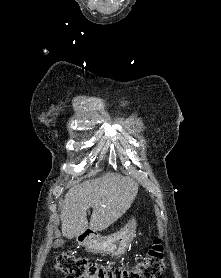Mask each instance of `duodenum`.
<instances>
[{"instance_id":"duodenum-1","label":"duodenum","mask_w":221,"mask_h":278,"mask_svg":"<svg viewBox=\"0 0 221 278\" xmlns=\"http://www.w3.org/2000/svg\"><path fill=\"white\" fill-rule=\"evenodd\" d=\"M92 239V231H90V230H87V231H85L83 234H81V236H80V241L82 242V243H86V242H88L89 240H91Z\"/></svg>"}]
</instances>
